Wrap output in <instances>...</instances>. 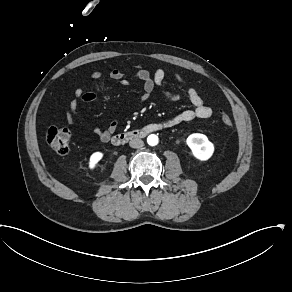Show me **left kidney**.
Here are the masks:
<instances>
[{
  "label": "left kidney",
  "mask_w": 292,
  "mask_h": 292,
  "mask_svg": "<svg viewBox=\"0 0 292 292\" xmlns=\"http://www.w3.org/2000/svg\"><path fill=\"white\" fill-rule=\"evenodd\" d=\"M186 144L193 157L200 162H206L211 159L215 151L214 144L206 135L201 133L190 134L186 139Z\"/></svg>",
  "instance_id": "left-kidney-1"
}]
</instances>
